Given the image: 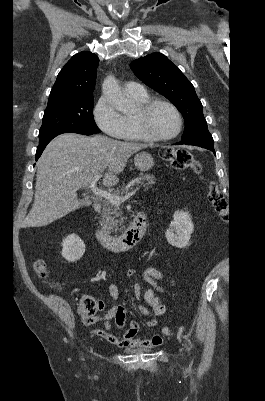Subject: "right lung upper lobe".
I'll list each match as a JSON object with an SVG mask.
<instances>
[{
  "instance_id": "obj_1",
  "label": "right lung upper lobe",
  "mask_w": 265,
  "mask_h": 401,
  "mask_svg": "<svg viewBox=\"0 0 265 401\" xmlns=\"http://www.w3.org/2000/svg\"><path fill=\"white\" fill-rule=\"evenodd\" d=\"M98 62L97 55L91 52L82 51L74 55L59 72L48 105L92 95Z\"/></svg>"
}]
</instances>
